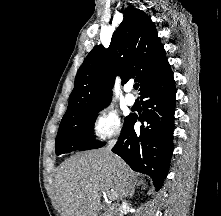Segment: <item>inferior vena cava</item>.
Returning <instances> with one entry per match:
<instances>
[{
    "mask_svg": "<svg viewBox=\"0 0 221 216\" xmlns=\"http://www.w3.org/2000/svg\"><path fill=\"white\" fill-rule=\"evenodd\" d=\"M113 145H114V142L109 143V145L107 146V150L110 151L111 148L113 147ZM119 216H122V210L121 209H119Z\"/></svg>",
    "mask_w": 221,
    "mask_h": 216,
    "instance_id": "inferior-vena-cava-1",
    "label": "inferior vena cava"
}]
</instances>
